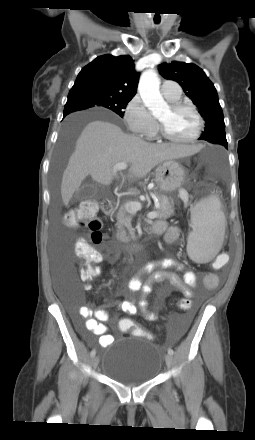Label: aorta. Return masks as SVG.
<instances>
[{
    "label": "aorta",
    "instance_id": "aorta-1",
    "mask_svg": "<svg viewBox=\"0 0 255 440\" xmlns=\"http://www.w3.org/2000/svg\"><path fill=\"white\" fill-rule=\"evenodd\" d=\"M159 87L160 79L153 69H148L142 73L138 85V91L144 105L155 116L168 110V105L162 98Z\"/></svg>",
    "mask_w": 255,
    "mask_h": 440
}]
</instances>
